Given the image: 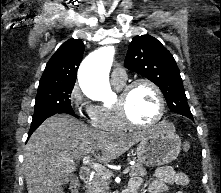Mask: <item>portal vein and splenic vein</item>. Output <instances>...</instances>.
<instances>
[{
  "mask_svg": "<svg viewBox=\"0 0 221 193\" xmlns=\"http://www.w3.org/2000/svg\"><path fill=\"white\" fill-rule=\"evenodd\" d=\"M68 162H73L72 160H68ZM83 164H85V165H90L92 168H94L95 170H96V172H98L99 174H101V175H105V176H107V177H110L111 175H112V173L108 170V169H106L104 166H102V165H100V164H97V163H91L90 162V156L88 155V156H85L84 158H83ZM130 172V168L129 167H127V168H125L124 170H123V174H127V173H129Z\"/></svg>",
  "mask_w": 221,
  "mask_h": 193,
  "instance_id": "18ae733b",
  "label": "portal vein and splenic vein"
}]
</instances>
